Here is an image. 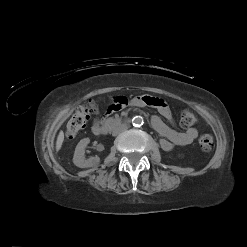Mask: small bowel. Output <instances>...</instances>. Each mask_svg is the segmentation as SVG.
I'll return each instance as SVG.
<instances>
[{"label": "small bowel", "mask_w": 247, "mask_h": 247, "mask_svg": "<svg viewBox=\"0 0 247 247\" xmlns=\"http://www.w3.org/2000/svg\"><path fill=\"white\" fill-rule=\"evenodd\" d=\"M128 105V99L122 95H116L110 98L109 103L97 106V111L112 115L114 112H120L123 108ZM131 105L136 107L152 106L158 110V112L169 122H173V116L169 106L166 102L160 98L151 96H140L136 97L131 101ZM101 119L97 118L94 120L92 130L94 133L98 132L101 124ZM151 124L155 131L161 136L159 141L160 147L164 151H171L175 146H186L195 141L198 136L196 128H189L186 131H178L167 126L160 117L153 116Z\"/></svg>", "instance_id": "small-bowel-1"}]
</instances>
